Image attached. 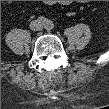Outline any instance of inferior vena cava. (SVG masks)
Returning <instances> with one entry per match:
<instances>
[{
  "mask_svg": "<svg viewBox=\"0 0 109 109\" xmlns=\"http://www.w3.org/2000/svg\"><path fill=\"white\" fill-rule=\"evenodd\" d=\"M30 28H31V30H33V31H40V30L43 29L41 23L38 22V21H36V20H35V21H32V22L30 23Z\"/></svg>",
  "mask_w": 109,
  "mask_h": 109,
  "instance_id": "obj_1",
  "label": "inferior vena cava"
}]
</instances>
